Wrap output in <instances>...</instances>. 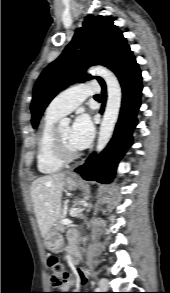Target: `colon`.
Instances as JSON below:
<instances>
[{
    "label": "colon",
    "instance_id": "1",
    "mask_svg": "<svg viewBox=\"0 0 170 293\" xmlns=\"http://www.w3.org/2000/svg\"><path fill=\"white\" fill-rule=\"evenodd\" d=\"M50 269V280L53 287V292L50 293H63L68 284V268L67 265L61 262L57 257H50L48 260Z\"/></svg>",
    "mask_w": 170,
    "mask_h": 293
}]
</instances>
